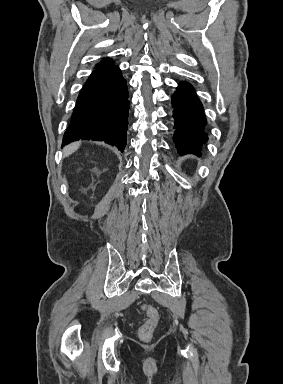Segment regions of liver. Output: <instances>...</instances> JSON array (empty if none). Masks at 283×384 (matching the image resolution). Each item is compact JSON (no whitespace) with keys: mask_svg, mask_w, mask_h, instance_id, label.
Instances as JSON below:
<instances>
[{"mask_svg":"<svg viewBox=\"0 0 283 384\" xmlns=\"http://www.w3.org/2000/svg\"><path fill=\"white\" fill-rule=\"evenodd\" d=\"M81 142H72V144H69V146H65L63 152H64V158H67V156H70V154H74L76 150H78Z\"/></svg>","mask_w":283,"mask_h":384,"instance_id":"6515ba94","label":"liver"}]
</instances>
